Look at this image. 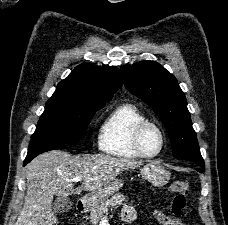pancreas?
<instances>
[{"label":"pancreas","mask_w":228,"mask_h":225,"mask_svg":"<svg viewBox=\"0 0 228 225\" xmlns=\"http://www.w3.org/2000/svg\"><path fill=\"white\" fill-rule=\"evenodd\" d=\"M124 201L125 197L124 195H121V193L113 195V197L106 199V201H101V205L90 209L91 213L88 217L90 225H98L101 217H103V215H107L110 207H115V205H125Z\"/></svg>","instance_id":"cf45deb5"}]
</instances>
